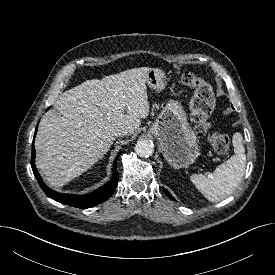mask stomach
Segmentation results:
<instances>
[{
	"instance_id": "stomach-1",
	"label": "stomach",
	"mask_w": 275,
	"mask_h": 275,
	"mask_svg": "<svg viewBox=\"0 0 275 275\" xmlns=\"http://www.w3.org/2000/svg\"><path fill=\"white\" fill-rule=\"evenodd\" d=\"M166 75L158 68L148 72L147 84L154 90H163L166 86ZM160 142L163 156L174 168H186L199 156L198 140L193 133L182 105L169 100L150 128Z\"/></svg>"
}]
</instances>
